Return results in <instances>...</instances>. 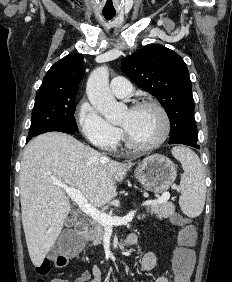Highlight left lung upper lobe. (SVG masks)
<instances>
[{"label": "left lung upper lobe", "mask_w": 232, "mask_h": 282, "mask_svg": "<svg viewBox=\"0 0 232 282\" xmlns=\"http://www.w3.org/2000/svg\"><path fill=\"white\" fill-rule=\"evenodd\" d=\"M121 67L139 87L159 100L172 132L183 141L198 140L189 72L178 54L162 45L148 44L124 58Z\"/></svg>", "instance_id": "left-lung-upper-lobe-1"}]
</instances>
